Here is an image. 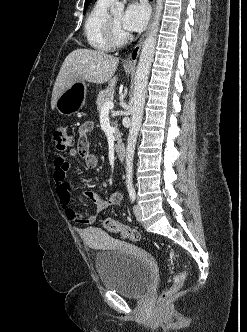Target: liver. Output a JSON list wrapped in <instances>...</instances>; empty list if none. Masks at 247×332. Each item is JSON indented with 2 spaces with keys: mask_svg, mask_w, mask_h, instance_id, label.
<instances>
[{
  "mask_svg": "<svg viewBox=\"0 0 247 332\" xmlns=\"http://www.w3.org/2000/svg\"><path fill=\"white\" fill-rule=\"evenodd\" d=\"M119 59L107 53L91 49H76L64 60L56 82L54 84L51 108L56 107V102L61 93L77 81H88L95 84L108 82L112 88L117 82L114 76Z\"/></svg>",
  "mask_w": 247,
  "mask_h": 332,
  "instance_id": "1",
  "label": "liver"
}]
</instances>
